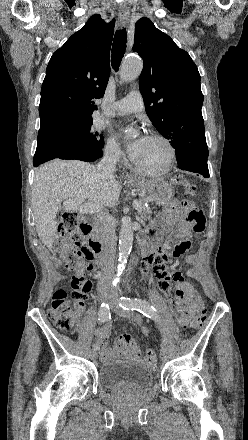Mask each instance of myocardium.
I'll return each mask as SVG.
<instances>
[{"instance_id": "f54148a6", "label": "myocardium", "mask_w": 248, "mask_h": 440, "mask_svg": "<svg viewBox=\"0 0 248 440\" xmlns=\"http://www.w3.org/2000/svg\"><path fill=\"white\" fill-rule=\"evenodd\" d=\"M149 137L160 141L165 146V148L167 150V158H166L164 165L160 168L149 169V168L141 167L133 161V167L137 172H139L141 174L151 175V176L163 175V174L169 172L173 166V163H174L175 157H176L175 148H174L172 142L162 134L152 133V134H150Z\"/></svg>"}]
</instances>
